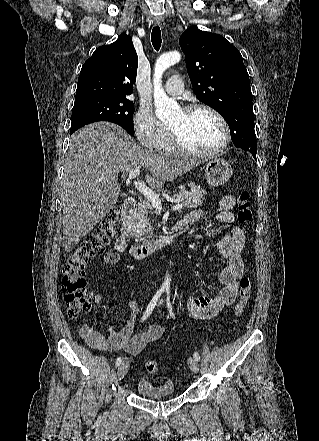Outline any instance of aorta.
<instances>
[{
	"mask_svg": "<svg viewBox=\"0 0 319 441\" xmlns=\"http://www.w3.org/2000/svg\"><path fill=\"white\" fill-rule=\"evenodd\" d=\"M181 59V55L178 51H172L162 54L155 63L153 85H154V101L156 107V116L161 121H168L178 111L179 106L176 101L169 98L164 89L162 88V75L166 69L172 65L178 63ZM171 278L166 275L163 287L168 288L170 286Z\"/></svg>",
	"mask_w": 319,
	"mask_h": 441,
	"instance_id": "1",
	"label": "aorta"
}]
</instances>
